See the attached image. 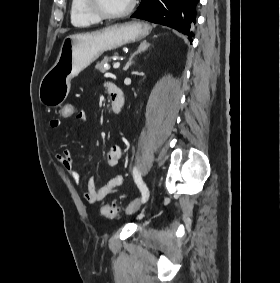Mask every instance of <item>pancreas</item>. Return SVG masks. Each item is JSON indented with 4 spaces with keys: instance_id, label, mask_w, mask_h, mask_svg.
Wrapping results in <instances>:
<instances>
[{
    "instance_id": "cf45deb5",
    "label": "pancreas",
    "mask_w": 280,
    "mask_h": 283,
    "mask_svg": "<svg viewBox=\"0 0 280 283\" xmlns=\"http://www.w3.org/2000/svg\"><path fill=\"white\" fill-rule=\"evenodd\" d=\"M117 55H118V53H115V54H114V56H117ZM108 60H109V57H108V56H105L101 61H99V62L97 63V65L95 66V68H96L98 71L102 72V73L107 72V71L110 69V66L108 65L107 67H104V64L107 63Z\"/></svg>"
}]
</instances>
